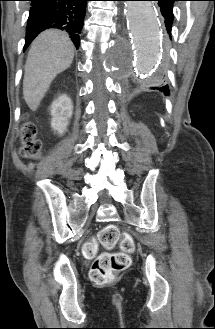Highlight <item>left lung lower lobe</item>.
I'll return each instance as SVG.
<instances>
[{
	"mask_svg": "<svg viewBox=\"0 0 215 329\" xmlns=\"http://www.w3.org/2000/svg\"><path fill=\"white\" fill-rule=\"evenodd\" d=\"M158 1V5L160 7V11L162 16L165 19V26L166 31L171 38V28L173 23V3L178 0H155ZM152 89L159 90L165 94H169V88L168 85H160L158 87H153Z\"/></svg>",
	"mask_w": 215,
	"mask_h": 329,
	"instance_id": "0a47b994",
	"label": "left lung lower lobe"
}]
</instances>
